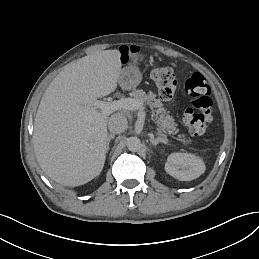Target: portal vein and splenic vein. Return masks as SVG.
Wrapping results in <instances>:
<instances>
[{"label": "portal vein and splenic vein", "mask_w": 259, "mask_h": 259, "mask_svg": "<svg viewBox=\"0 0 259 259\" xmlns=\"http://www.w3.org/2000/svg\"><path fill=\"white\" fill-rule=\"evenodd\" d=\"M94 108L101 110L102 114L108 116L113 112L126 109V110H143V103L140 100L133 98H122L120 100H115L112 102L96 100L93 103Z\"/></svg>", "instance_id": "portal-vein-and-splenic-vein-1"}]
</instances>
